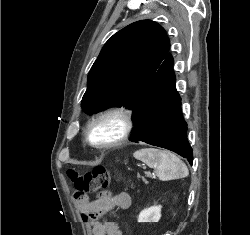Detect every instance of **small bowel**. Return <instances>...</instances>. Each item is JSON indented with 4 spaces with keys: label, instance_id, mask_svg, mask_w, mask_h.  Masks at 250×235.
<instances>
[{
    "label": "small bowel",
    "instance_id": "c3829d8e",
    "mask_svg": "<svg viewBox=\"0 0 250 235\" xmlns=\"http://www.w3.org/2000/svg\"><path fill=\"white\" fill-rule=\"evenodd\" d=\"M131 203V196L126 192L107 193L93 202L81 201L79 210L86 217L85 222L91 227L93 235H124L123 230L117 224L101 223L94 216L113 209L127 210Z\"/></svg>",
    "mask_w": 250,
    "mask_h": 235
}]
</instances>
